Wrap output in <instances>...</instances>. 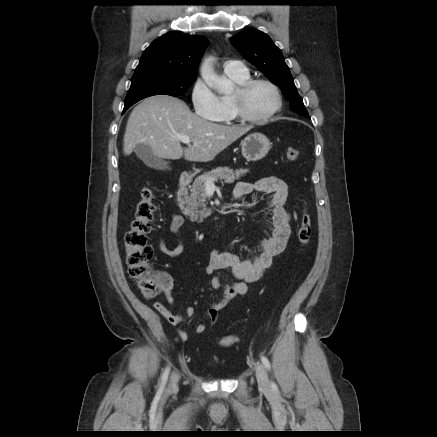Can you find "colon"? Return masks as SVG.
Wrapping results in <instances>:
<instances>
[{
  "label": "colon",
  "mask_w": 437,
  "mask_h": 437,
  "mask_svg": "<svg viewBox=\"0 0 437 437\" xmlns=\"http://www.w3.org/2000/svg\"><path fill=\"white\" fill-rule=\"evenodd\" d=\"M299 155L300 152L296 148L288 147L286 149V159L288 161H296ZM155 210L154 191L150 186H145L140 191L134 219L124 235L125 260L129 275L136 281L142 295L148 299L158 296L163 290V275L152 268L153 249L147 242V234L151 231ZM311 234V216L307 211H304L298 229V239L301 246L305 247L309 243ZM238 340V336L228 335L221 340V345L230 347Z\"/></svg>",
  "instance_id": "5ec220e1"
}]
</instances>
